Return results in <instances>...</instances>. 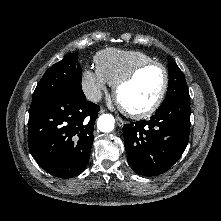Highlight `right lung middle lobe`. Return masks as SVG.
<instances>
[{"label": "right lung middle lobe", "mask_w": 221, "mask_h": 221, "mask_svg": "<svg viewBox=\"0 0 221 221\" xmlns=\"http://www.w3.org/2000/svg\"><path fill=\"white\" fill-rule=\"evenodd\" d=\"M81 80L78 55L69 53L61 61L52 65L43 75L34 91L30 110L57 94L70 93L83 96Z\"/></svg>", "instance_id": "right-lung-middle-lobe-1"}]
</instances>
